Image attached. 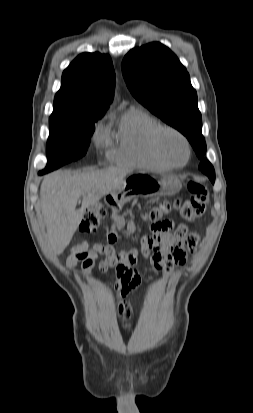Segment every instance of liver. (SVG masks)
<instances>
[{
  "mask_svg": "<svg viewBox=\"0 0 253 413\" xmlns=\"http://www.w3.org/2000/svg\"><path fill=\"white\" fill-rule=\"evenodd\" d=\"M128 170L110 167L105 170L47 175L40 187V205L46 225L49 249L61 254L80 225L86 208L117 189ZM82 196V205L76 209Z\"/></svg>",
  "mask_w": 253,
  "mask_h": 413,
  "instance_id": "obj_1",
  "label": "liver"
}]
</instances>
